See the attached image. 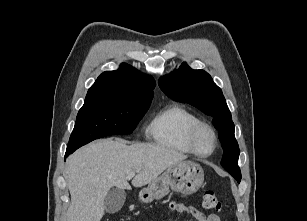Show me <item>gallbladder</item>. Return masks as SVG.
Returning <instances> with one entry per match:
<instances>
[{
	"instance_id": "bac80fb5",
	"label": "gallbladder",
	"mask_w": 307,
	"mask_h": 221,
	"mask_svg": "<svg viewBox=\"0 0 307 221\" xmlns=\"http://www.w3.org/2000/svg\"><path fill=\"white\" fill-rule=\"evenodd\" d=\"M125 198L126 193L123 189L112 188L104 199L105 211L110 214L118 212L122 208Z\"/></svg>"
}]
</instances>
